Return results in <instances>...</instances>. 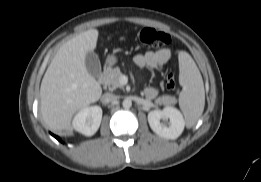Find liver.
Returning a JSON list of instances; mask_svg holds the SVG:
<instances>
[{"label": "liver", "mask_w": 261, "mask_h": 182, "mask_svg": "<svg viewBox=\"0 0 261 182\" xmlns=\"http://www.w3.org/2000/svg\"><path fill=\"white\" fill-rule=\"evenodd\" d=\"M99 32L89 29L64 43L52 59L41 82L40 109L53 131H72L71 120L80 109L98 101L102 88L85 65L94 51Z\"/></svg>", "instance_id": "obj_1"}]
</instances>
